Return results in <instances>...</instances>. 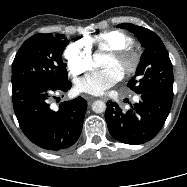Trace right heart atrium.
Returning a JSON list of instances; mask_svg holds the SVG:
<instances>
[{"label":"right heart atrium","instance_id":"d8ad5b80","mask_svg":"<svg viewBox=\"0 0 187 187\" xmlns=\"http://www.w3.org/2000/svg\"><path fill=\"white\" fill-rule=\"evenodd\" d=\"M68 70L79 75L86 71L92 63V48L86 40L71 43L64 52Z\"/></svg>","mask_w":187,"mask_h":187}]
</instances>
